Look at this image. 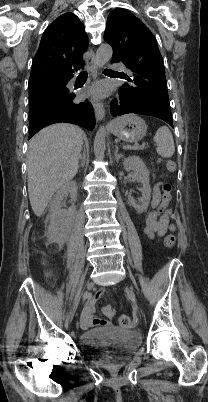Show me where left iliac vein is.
I'll return each instance as SVG.
<instances>
[{
	"instance_id": "left-iliac-vein-1",
	"label": "left iliac vein",
	"mask_w": 208,
	"mask_h": 402,
	"mask_svg": "<svg viewBox=\"0 0 208 402\" xmlns=\"http://www.w3.org/2000/svg\"><path fill=\"white\" fill-rule=\"evenodd\" d=\"M126 290H127V294H128V296H129V298H130V299H133V298H134V293H133V291H132L131 289H129V288H126Z\"/></svg>"
}]
</instances>
